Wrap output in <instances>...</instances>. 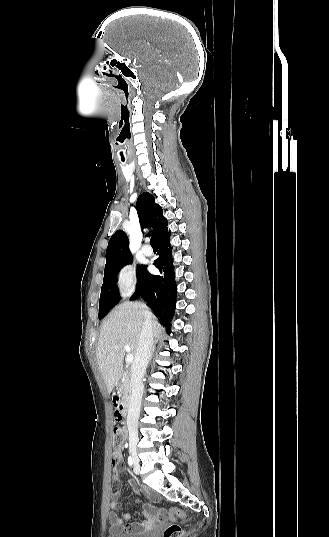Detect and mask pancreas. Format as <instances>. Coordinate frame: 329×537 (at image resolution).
Masks as SVG:
<instances>
[{
  "instance_id": "cf45deb5",
  "label": "pancreas",
  "mask_w": 329,
  "mask_h": 537,
  "mask_svg": "<svg viewBox=\"0 0 329 537\" xmlns=\"http://www.w3.org/2000/svg\"><path fill=\"white\" fill-rule=\"evenodd\" d=\"M119 392L122 393L124 396L129 397L131 393V384L127 377H124L119 384Z\"/></svg>"
}]
</instances>
